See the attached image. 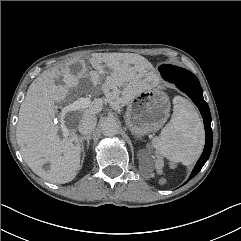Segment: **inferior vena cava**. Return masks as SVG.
<instances>
[{
    "mask_svg": "<svg viewBox=\"0 0 241 241\" xmlns=\"http://www.w3.org/2000/svg\"><path fill=\"white\" fill-rule=\"evenodd\" d=\"M96 123L97 118L94 114L84 113L78 125V130L83 135H89L96 127Z\"/></svg>",
    "mask_w": 241,
    "mask_h": 241,
    "instance_id": "1",
    "label": "inferior vena cava"
}]
</instances>
